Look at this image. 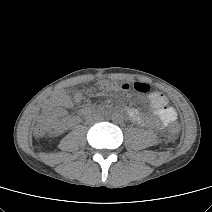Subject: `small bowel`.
Returning <instances> with one entry per match:
<instances>
[{"instance_id": "c3829d8e", "label": "small bowel", "mask_w": 212, "mask_h": 212, "mask_svg": "<svg viewBox=\"0 0 212 212\" xmlns=\"http://www.w3.org/2000/svg\"><path fill=\"white\" fill-rule=\"evenodd\" d=\"M100 95H104V93L98 92L97 96ZM148 97L150 108L157 119L155 121H149L138 110L129 108L126 111L132 121L140 125L152 124L158 128L167 127L176 121L177 112L173 107L168 105V100L162 93L152 91L148 94ZM81 99V94L78 92L69 95L62 90L56 91L43 105V119L50 121L57 133L77 125L80 122V116L68 115L67 109L79 103Z\"/></svg>"}]
</instances>
